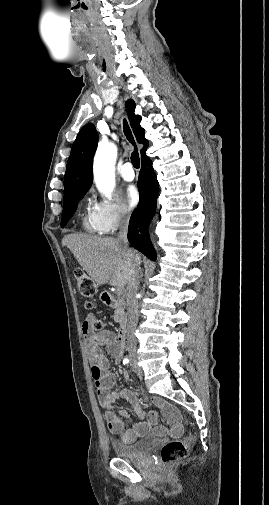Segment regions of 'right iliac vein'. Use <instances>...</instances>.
Returning <instances> with one entry per match:
<instances>
[{
  "label": "right iliac vein",
  "mask_w": 269,
  "mask_h": 505,
  "mask_svg": "<svg viewBox=\"0 0 269 505\" xmlns=\"http://www.w3.org/2000/svg\"><path fill=\"white\" fill-rule=\"evenodd\" d=\"M138 372H140V370ZM140 379H143V376H140Z\"/></svg>",
  "instance_id": "obj_1"
}]
</instances>
